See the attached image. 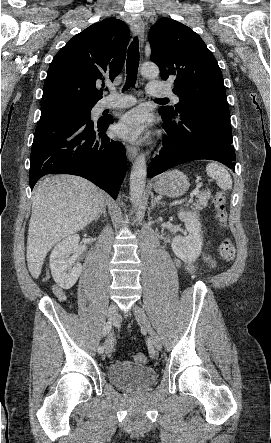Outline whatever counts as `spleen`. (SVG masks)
<instances>
[{
  "label": "spleen",
  "mask_w": 271,
  "mask_h": 443,
  "mask_svg": "<svg viewBox=\"0 0 271 443\" xmlns=\"http://www.w3.org/2000/svg\"><path fill=\"white\" fill-rule=\"evenodd\" d=\"M206 172L209 178L216 180V184L219 186V188H221V190H231V176L229 172L225 170L224 166H220V164H216V162H211V164L206 166Z\"/></svg>",
  "instance_id": "obj_1"
}]
</instances>
